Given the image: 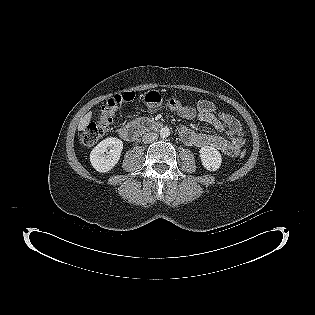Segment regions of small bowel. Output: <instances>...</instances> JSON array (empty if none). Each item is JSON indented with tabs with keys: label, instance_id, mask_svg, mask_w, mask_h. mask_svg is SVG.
Instances as JSON below:
<instances>
[{
	"label": "small bowel",
	"instance_id": "1",
	"mask_svg": "<svg viewBox=\"0 0 315 315\" xmlns=\"http://www.w3.org/2000/svg\"><path fill=\"white\" fill-rule=\"evenodd\" d=\"M171 110L185 119L196 117L224 133V135L200 133L181 125L178 133L186 145L212 146L228 156H237V151L242 149L245 139L240 122L228 112L217 111L213 102L201 100L195 106L183 105L178 109Z\"/></svg>",
	"mask_w": 315,
	"mask_h": 315
}]
</instances>
